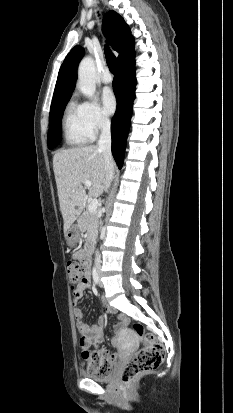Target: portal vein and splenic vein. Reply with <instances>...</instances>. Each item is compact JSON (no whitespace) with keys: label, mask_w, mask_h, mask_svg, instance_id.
<instances>
[{"label":"portal vein and splenic vein","mask_w":233,"mask_h":413,"mask_svg":"<svg viewBox=\"0 0 233 413\" xmlns=\"http://www.w3.org/2000/svg\"><path fill=\"white\" fill-rule=\"evenodd\" d=\"M84 185H85L86 188H89V187H91L92 183H91V181L86 180V181L84 182ZM97 207H98V200H97L96 198H93V199L90 201L87 210H88L90 213H94V212L96 211Z\"/></svg>","instance_id":"1"}]
</instances>
